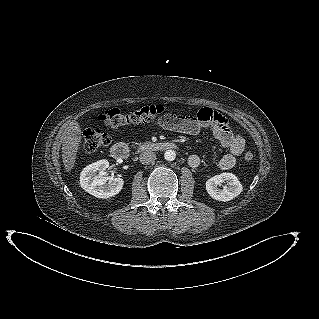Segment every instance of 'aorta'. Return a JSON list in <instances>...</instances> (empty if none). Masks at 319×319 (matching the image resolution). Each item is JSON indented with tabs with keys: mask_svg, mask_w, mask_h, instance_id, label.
Segmentation results:
<instances>
[{
	"mask_svg": "<svg viewBox=\"0 0 319 319\" xmlns=\"http://www.w3.org/2000/svg\"><path fill=\"white\" fill-rule=\"evenodd\" d=\"M164 158L165 160L167 161H173L175 160L176 158V153L174 150H167L165 153H164Z\"/></svg>",
	"mask_w": 319,
	"mask_h": 319,
	"instance_id": "762f6f07",
	"label": "aorta"
}]
</instances>
